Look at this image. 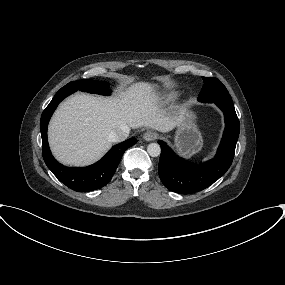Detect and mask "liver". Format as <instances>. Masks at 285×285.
Wrapping results in <instances>:
<instances>
[{
	"label": "liver",
	"instance_id": "1",
	"mask_svg": "<svg viewBox=\"0 0 285 285\" xmlns=\"http://www.w3.org/2000/svg\"><path fill=\"white\" fill-rule=\"evenodd\" d=\"M178 123L179 119L164 115L152 86L139 82L113 98L85 93L71 96L54 113L48 137L60 162L80 166L101 158L111 147V132L122 125L166 132Z\"/></svg>",
	"mask_w": 285,
	"mask_h": 285
}]
</instances>
